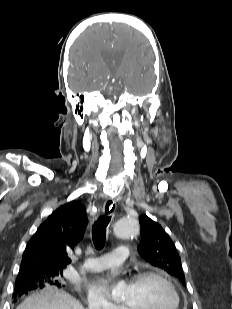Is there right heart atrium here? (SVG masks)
I'll return each instance as SVG.
<instances>
[{"mask_svg":"<svg viewBox=\"0 0 232 309\" xmlns=\"http://www.w3.org/2000/svg\"><path fill=\"white\" fill-rule=\"evenodd\" d=\"M88 306L91 309H122L110 302L104 295L95 289L89 292Z\"/></svg>","mask_w":232,"mask_h":309,"instance_id":"obj_1","label":"right heart atrium"}]
</instances>
